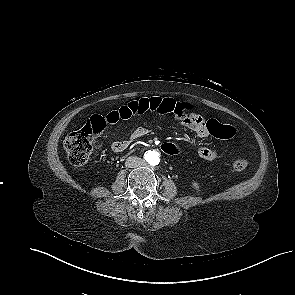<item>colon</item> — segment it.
<instances>
[{
	"label": "colon",
	"mask_w": 295,
	"mask_h": 295,
	"mask_svg": "<svg viewBox=\"0 0 295 295\" xmlns=\"http://www.w3.org/2000/svg\"><path fill=\"white\" fill-rule=\"evenodd\" d=\"M190 109V106H189ZM106 127L102 116L95 115L88 119L81 128L69 133L64 140V149L67 153L69 162L74 167H83L92 152L94 139ZM207 128L211 134L221 139H231L237 129L231 124L220 123L216 120H209ZM160 149L163 153L170 157H175L179 154L180 149L177 145L165 141L161 144ZM248 165L244 158L236 159L233 164L235 172L243 171Z\"/></svg>",
	"instance_id": "colon-1"
}]
</instances>
